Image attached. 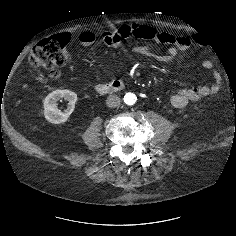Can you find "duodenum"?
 <instances>
[{
	"label": "duodenum",
	"mask_w": 236,
	"mask_h": 236,
	"mask_svg": "<svg viewBox=\"0 0 236 236\" xmlns=\"http://www.w3.org/2000/svg\"><path fill=\"white\" fill-rule=\"evenodd\" d=\"M124 88V83L118 80L101 82L96 85V91L100 94H111Z\"/></svg>",
	"instance_id": "duodenum-1"
}]
</instances>
